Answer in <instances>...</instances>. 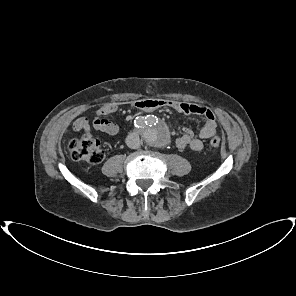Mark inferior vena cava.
<instances>
[{
    "label": "inferior vena cava",
    "mask_w": 296,
    "mask_h": 296,
    "mask_svg": "<svg viewBox=\"0 0 296 296\" xmlns=\"http://www.w3.org/2000/svg\"><path fill=\"white\" fill-rule=\"evenodd\" d=\"M126 145L131 149H137L140 146L139 135L135 132L130 133L126 138Z\"/></svg>",
    "instance_id": "1"
}]
</instances>
